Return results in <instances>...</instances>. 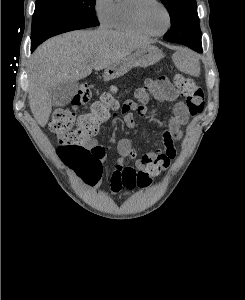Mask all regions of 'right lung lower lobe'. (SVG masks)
I'll use <instances>...</instances> for the list:
<instances>
[{
    "mask_svg": "<svg viewBox=\"0 0 245 300\" xmlns=\"http://www.w3.org/2000/svg\"><path fill=\"white\" fill-rule=\"evenodd\" d=\"M38 46V45H37ZM37 46L31 45V50H34Z\"/></svg>",
    "mask_w": 245,
    "mask_h": 300,
    "instance_id": "obj_1",
    "label": "right lung lower lobe"
}]
</instances>
